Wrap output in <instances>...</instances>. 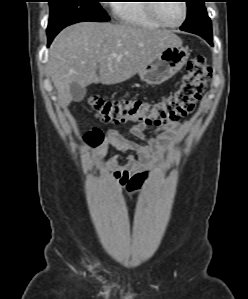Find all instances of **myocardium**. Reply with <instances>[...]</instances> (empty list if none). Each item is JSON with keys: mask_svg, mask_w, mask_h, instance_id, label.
<instances>
[{"mask_svg": "<svg viewBox=\"0 0 248 299\" xmlns=\"http://www.w3.org/2000/svg\"><path fill=\"white\" fill-rule=\"evenodd\" d=\"M157 2V1H154ZM182 3V8H183V16L182 19L180 20L179 23L177 24H170L167 23L159 14L158 12V6L160 3H151L149 6V10L151 13V16L153 17V19L158 22L161 26L167 27V28H178L180 27L187 19V15H188V7H187V3L184 0H181Z\"/></svg>", "mask_w": 248, "mask_h": 299, "instance_id": "obj_1", "label": "myocardium"}]
</instances>
